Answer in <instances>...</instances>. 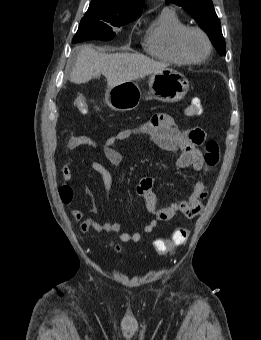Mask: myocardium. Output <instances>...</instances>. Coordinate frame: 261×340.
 <instances>
[{
	"mask_svg": "<svg viewBox=\"0 0 261 340\" xmlns=\"http://www.w3.org/2000/svg\"><path fill=\"white\" fill-rule=\"evenodd\" d=\"M190 32H197V33H199L200 35H202V37L206 41L207 52H206L205 56L203 58H201V59H193L185 51V48H184V39H185L186 35L188 33H190ZM212 48H213V46H212V42H211L210 37L208 36V34L202 28H200L198 26H189V25L185 26L177 34V37H176V49H177L178 53L185 60H187L189 63L198 64V63L204 62L210 56V54L212 52Z\"/></svg>",
	"mask_w": 261,
	"mask_h": 340,
	"instance_id": "myocardium-1",
	"label": "myocardium"
}]
</instances>
